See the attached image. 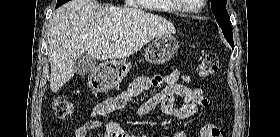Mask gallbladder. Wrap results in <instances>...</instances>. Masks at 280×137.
I'll use <instances>...</instances> for the list:
<instances>
[{
  "mask_svg": "<svg viewBox=\"0 0 280 137\" xmlns=\"http://www.w3.org/2000/svg\"><path fill=\"white\" fill-rule=\"evenodd\" d=\"M96 66V59L88 53L77 56L74 59V70L77 75H87L91 73Z\"/></svg>",
  "mask_w": 280,
  "mask_h": 137,
  "instance_id": "obj_1",
  "label": "gallbladder"
}]
</instances>
